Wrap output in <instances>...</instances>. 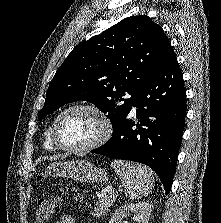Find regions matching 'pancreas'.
Listing matches in <instances>:
<instances>
[{
	"label": "pancreas",
	"instance_id": "pancreas-1",
	"mask_svg": "<svg viewBox=\"0 0 221 223\" xmlns=\"http://www.w3.org/2000/svg\"><path fill=\"white\" fill-rule=\"evenodd\" d=\"M117 198L116 193H107L101 199L96 202V207H94V212L92 215L94 217H100L108 212L109 208L113 205Z\"/></svg>",
	"mask_w": 221,
	"mask_h": 223
}]
</instances>
